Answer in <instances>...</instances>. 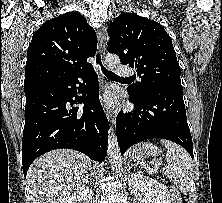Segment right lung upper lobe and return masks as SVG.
<instances>
[{
    "label": "right lung upper lobe",
    "mask_w": 222,
    "mask_h": 203,
    "mask_svg": "<svg viewBox=\"0 0 222 203\" xmlns=\"http://www.w3.org/2000/svg\"><path fill=\"white\" fill-rule=\"evenodd\" d=\"M97 36L86 19L68 12L45 22L28 47L25 93L40 86L90 72L87 58L95 55Z\"/></svg>",
    "instance_id": "right-lung-upper-lobe-1"
}]
</instances>
